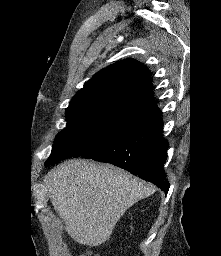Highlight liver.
Returning a JSON list of instances; mask_svg holds the SVG:
<instances>
[{"label":"liver","instance_id":"liver-1","mask_svg":"<svg viewBox=\"0 0 221 256\" xmlns=\"http://www.w3.org/2000/svg\"><path fill=\"white\" fill-rule=\"evenodd\" d=\"M46 183L65 229L80 244L99 246L125 211L155 188L110 164L69 160L51 170Z\"/></svg>","mask_w":221,"mask_h":256}]
</instances>
